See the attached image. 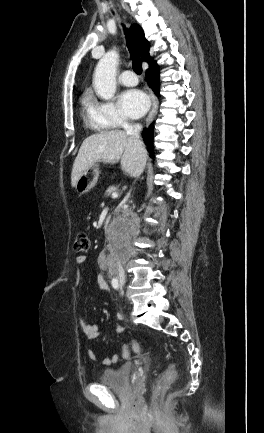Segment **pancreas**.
I'll return each instance as SVG.
<instances>
[{
	"mask_svg": "<svg viewBox=\"0 0 264 433\" xmlns=\"http://www.w3.org/2000/svg\"><path fill=\"white\" fill-rule=\"evenodd\" d=\"M117 190H118L117 187H115V186H110V187L107 188V190H106V192H105V195H106V196H110L112 193L116 192Z\"/></svg>",
	"mask_w": 264,
	"mask_h": 433,
	"instance_id": "obj_1",
	"label": "pancreas"
}]
</instances>
